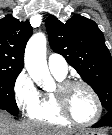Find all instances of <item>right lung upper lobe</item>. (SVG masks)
Listing matches in <instances>:
<instances>
[{
    "label": "right lung upper lobe",
    "mask_w": 112,
    "mask_h": 135,
    "mask_svg": "<svg viewBox=\"0 0 112 135\" xmlns=\"http://www.w3.org/2000/svg\"><path fill=\"white\" fill-rule=\"evenodd\" d=\"M31 35L28 20L20 22L12 15L0 19V71L21 72L25 46Z\"/></svg>",
    "instance_id": "obj_1"
}]
</instances>
